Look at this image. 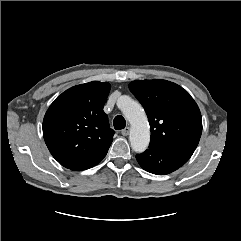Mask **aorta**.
I'll use <instances>...</instances> for the list:
<instances>
[{
  "label": "aorta",
  "instance_id": "aorta-1",
  "mask_svg": "<svg viewBox=\"0 0 241 241\" xmlns=\"http://www.w3.org/2000/svg\"><path fill=\"white\" fill-rule=\"evenodd\" d=\"M119 106L131 124L129 140L135 152H144L150 142V128L142 106L127 96H122Z\"/></svg>",
  "mask_w": 241,
  "mask_h": 241
}]
</instances>
